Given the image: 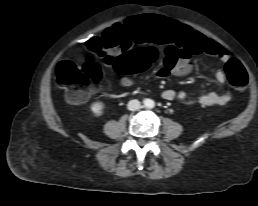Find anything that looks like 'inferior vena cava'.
Masks as SVG:
<instances>
[{
	"label": "inferior vena cava",
	"instance_id": "obj_1",
	"mask_svg": "<svg viewBox=\"0 0 258 206\" xmlns=\"http://www.w3.org/2000/svg\"><path fill=\"white\" fill-rule=\"evenodd\" d=\"M128 109L131 111L138 110L141 107V104L138 100L134 99L128 102Z\"/></svg>",
	"mask_w": 258,
	"mask_h": 206
}]
</instances>
